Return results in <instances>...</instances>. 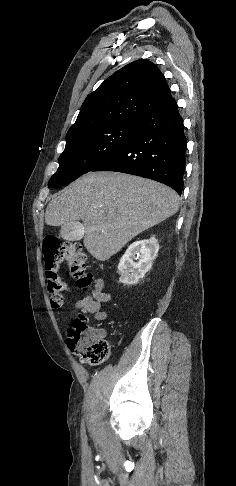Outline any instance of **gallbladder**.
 <instances>
[{
    "label": "gallbladder",
    "mask_w": 236,
    "mask_h": 486,
    "mask_svg": "<svg viewBox=\"0 0 236 486\" xmlns=\"http://www.w3.org/2000/svg\"><path fill=\"white\" fill-rule=\"evenodd\" d=\"M83 226L80 222H70L61 226L60 235L67 241H77L82 238Z\"/></svg>",
    "instance_id": "gallbladder-1"
}]
</instances>
